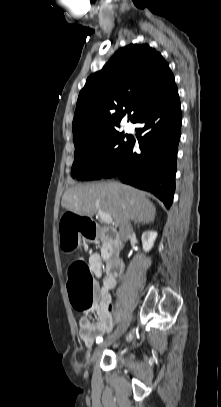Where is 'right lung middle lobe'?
Returning a JSON list of instances; mask_svg holds the SVG:
<instances>
[{"label": "right lung middle lobe", "instance_id": "1", "mask_svg": "<svg viewBox=\"0 0 221 407\" xmlns=\"http://www.w3.org/2000/svg\"><path fill=\"white\" fill-rule=\"evenodd\" d=\"M131 137L115 128L75 143L71 175L78 180L102 178L127 150Z\"/></svg>", "mask_w": 221, "mask_h": 407}]
</instances>
